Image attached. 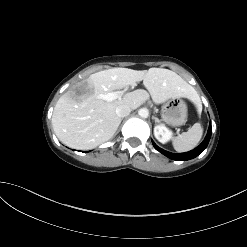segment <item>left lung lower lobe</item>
<instances>
[{
    "mask_svg": "<svg viewBox=\"0 0 247 247\" xmlns=\"http://www.w3.org/2000/svg\"><path fill=\"white\" fill-rule=\"evenodd\" d=\"M211 133H212V127H211V122H210L208 132H207V135L204 141L197 148L189 152H186V153L174 154V153L161 149L153 141H152V144L156 150H158L160 153L164 154L165 156L169 157L170 159L186 161V160H190V159L197 157L199 154H201L206 149L209 143V140L211 138Z\"/></svg>",
    "mask_w": 247,
    "mask_h": 247,
    "instance_id": "0a47b994",
    "label": "left lung lower lobe"
}]
</instances>
